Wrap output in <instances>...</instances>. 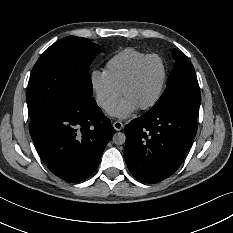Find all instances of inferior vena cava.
<instances>
[{
  "label": "inferior vena cava",
  "mask_w": 233,
  "mask_h": 233,
  "mask_svg": "<svg viewBox=\"0 0 233 233\" xmlns=\"http://www.w3.org/2000/svg\"><path fill=\"white\" fill-rule=\"evenodd\" d=\"M98 105L100 107H102L103 109H107V108L111 107L113 104L110 101L103 100V101H99Z\"/></svg>",
  "instance_id": "inferior-vena-cava-1"
}]
</instances>
